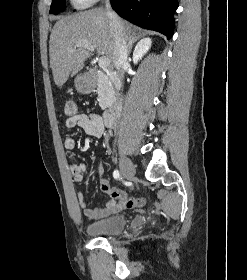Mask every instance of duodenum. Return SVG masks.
Listing matches in <instances>:
<instances>
[{
  "label": "duodenum",
  "mask_w": 247,
  "mask_h": 280,
  "mask_svg": "<svg viewBox=\"0 0 247 280\" xmlns=\"http://www.w3.org/2000/svg\"><path fill=\"white\" fill-rule=\"evenodd\" d=\"M96 71L94 69L89 70L87 73V79L89 84H92L94 79L96 78ZM121 110V104L119 102L111 105L103 114V119L105 125L108 127H112L116 124L119 112Z\"/></svg>",
  "instance_id": "410a0bca"
}]
</instances>
